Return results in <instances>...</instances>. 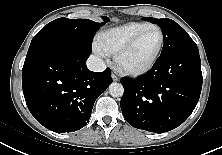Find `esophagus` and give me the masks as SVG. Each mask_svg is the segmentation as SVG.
Instances as JSON below:
<instances>
[{
  "mask_svg": "<svg viewBox=\"0 0 222 155\" xmlns=\"http://www.w3.org/2000/svg\"><path fill=\"white\" fill-rule=\"evenodd\" d=\"M112 79L115 82L119 81V77L117 75H115V74H112Z\"/></svg>",
  "mask_w": 222,
  "mask_h": 155,
  "instance_id": "34e87169",
  "label": "esophagus"
}]
</instances>
